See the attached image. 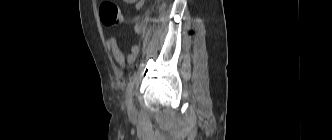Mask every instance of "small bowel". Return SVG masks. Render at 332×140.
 Masks as SVG:
<instances>
[{
    "instance_id": "c3829d8e",
    "label": "small bowel",
    "mask_w": 332,
    "mask_h": 140,
    "mask_svg": "<svg viewBox=\"0 0 332 140\" xmlns=\"http://www.w3.org/2000/svg\"><path fill=\"white\" fill-rule=\"evenodd\" d=\"M126 4H133L136 9H141L144 4L145 0H122ZM107 48L111 52L114 60L120 67H125L126 64L133 63L138 55L139 49L137 46H133L130 52L125 56L121 49L118 46V42L116 37L111 36L107 40Z\"/></svg>"
}]
</instances>
